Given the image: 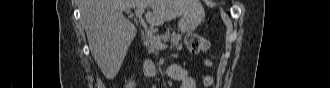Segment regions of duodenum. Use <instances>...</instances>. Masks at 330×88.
<instances>
[{
    "label": "duodenum",
    "mask_w": 330,
    "mask_h": 88,
    "mask_svg": "<svg viewBox=\"0 0 330 88\" xmlns=\"http://www.w3.org/2000/svg\"><path fill=\"white\" fill-rule=\"evenodd\" d=\"M142 69L147 76L150 77H162L165 76V68L156 66L153 62H145L142 65Z\"/></svg>",
    "instance_id": "duodenum-1"
}]
</instances>
